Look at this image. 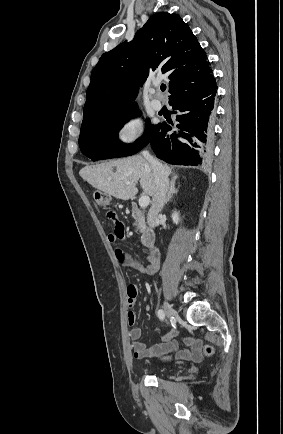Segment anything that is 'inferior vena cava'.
I'll list each match as a JSON object with an SVG mask.
<instances>
[{"label":"inferior vena cava","mask_w":283,"mask_h":434,"mask_svg":"<svg viewBox=\"0 0 283 434\" xmlns=\"http://www.w3.org/2000/svg\"><path fill=\"white\" fill-rule=\"evenodd\" d=\"M142 154L150 163L155 182V192L152 198V206L147 217L148 224L151 227H154L156 224L157 215L163 209L166 200V195L169 189V179L164 167L159 161L153 158L148 151H143Z\"/></svg>","instance_id":"obj_1"}]
</instances>
